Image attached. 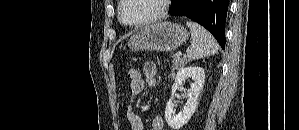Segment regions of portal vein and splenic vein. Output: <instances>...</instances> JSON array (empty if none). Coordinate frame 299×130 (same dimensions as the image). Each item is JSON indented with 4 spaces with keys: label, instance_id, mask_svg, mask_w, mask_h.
Returning <instances> with one entry per match:
<instances>
[{
    "label": "portal vein and splenic vein",
    "instance_id": "portal-vein-and-splenic-vein-1",
    "mask_svg": "<svg viewBox=\"0 0 299 130\" xmlns=\"http://www.w3.org/2000/svg\"><path fill=\"white\" fill-rule=\"evenodd\" d=\"M178 57H180L181 55H182V53L181 52H177V54H176Z\"/></svg>",
    "mask_w": 299,
    "mask_h": 130
}]
</instances>
